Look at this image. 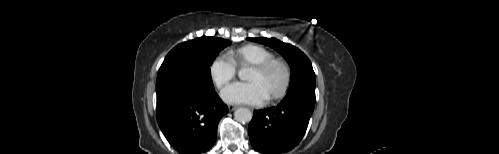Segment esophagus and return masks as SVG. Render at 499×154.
<instances>
[{"mask_svg": "<svg viewBox=\"0 0 499 154\" xmlns=\"http://www.w3.org/2000/svg\"><path fill=\"white\" fill-rule=\"evenodd\" d=\"M236 108H237L236 105H233V104L228 105L229 111H234Z\"/></svg>", "mask_w": 499, "mask_h": 154, "instance_id": "1", "label": "esophagus"}]
</instances>
